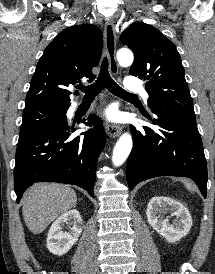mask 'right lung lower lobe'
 <instances>
[{
  "label": "right lung lower lobe",
  "mask_w": 215,
  "mask_h": 274,
  "mask_svg": "<svg viewBox=\"0 0 215 274\" xmlns=\"http://www.w3.org/2000/svg\"><path fill=\"white\" fill-rule=\"evenodd\" d=\"M82 121L94 129L73 135L65 118L19 142L16 149L14 189L17 202L35 182L77 185L94 197L95 172L106 137L101 120L90 115Z\"/></svg>",
  "instance_id": "obj_1"
}]
</instances>
